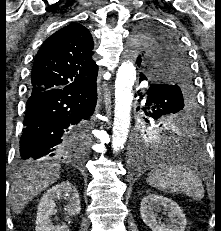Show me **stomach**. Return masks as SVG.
<instances>
[{
    "label": "stomach",
    "instance_id": "1",
    "mask_svg": "<svg viewBox=\"0 0 221 231\" xmlns=\"http://www.w3.org/2000/svg\"><path fill=\"white\" fill-rule=\"evenodd\" d=\"M175 127H176L175 124L168 125L167 129H165V131H164L163 133H165V132H167V131H171V130H173Z\"/></svg>",
    "mask_w": 221,
    "mask_h": 231
}]
</instances>
